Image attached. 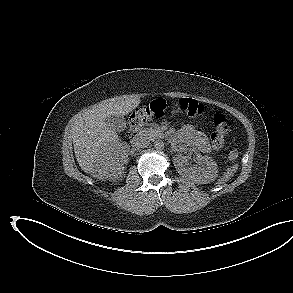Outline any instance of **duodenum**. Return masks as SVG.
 I'll return each instance as SVG.
<instances>
[{"label": "duodenum", "mask_w": 293, "mask_h": 293, "mask_svg": "<svg viewBox=\"0 0 293 293\" xmlns=\"http://www.w3.org/2000/svg\"><path fill=\"white\" fill-rule=\"evenodd\" d=\"M141 140H142L141 133L140 132L135 133V135L133 136V138L131 140L132 146L133 147L138 146L140 144Z\"/></svg>", "instance_id": "obj_1"}]
</instances>
